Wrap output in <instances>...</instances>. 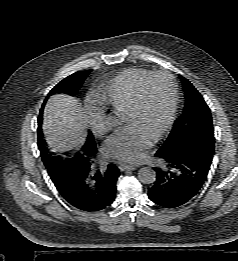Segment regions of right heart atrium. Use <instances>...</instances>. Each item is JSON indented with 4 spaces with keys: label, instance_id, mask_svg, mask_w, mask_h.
Returning <instances> with one entry per match:
<instances>
[{
    "label": "right heart atrium",
    "instance_id": "obj_1",
    "mask_svg": "<svg viewBox=\"0 0 238 261\" xmlns=\"http://www.w3.org/2000/svg\"><path fill=\"white\" fill-rule=\"evenodd\" d=\"M88 120L94 135L97 137H103L106 135L109 128L103 111L96 108H90L88 111Z\"/></svg>",
    "mask_w": 238,
    "mask_h": 261
}]
</instances>
